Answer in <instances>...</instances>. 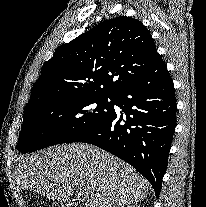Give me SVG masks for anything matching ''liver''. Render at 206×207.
Wrapping results in <instances>:
<instances>
[{"label":"liver","mask_w":206,"mask_h":207,"mask_svg":"<svg viewBox=\"0 0 206 207\" xmlns=\"http://www.w3.org/2000/svg\"><path fill=\"white\" fill-rule=\"evenodd\" d=\"M15 174L20 189L59 202L84 191L86 207H125L148 193L147 181L133 167L89 144H62L27 155Z\"/></svg>","instance_id":"1"}]
</instances>
